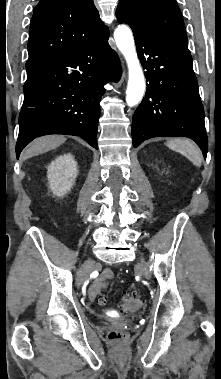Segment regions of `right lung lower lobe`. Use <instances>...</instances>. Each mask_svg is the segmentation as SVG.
<instances>
[{
    "label": "right lung lower lobe",
    "instance_id": "1",
    "mask_svg": "<svg viewBox=\"0 0 221 379\" xmlns=\"http://www.w3.org/2000/svg\"><path fill=\"white\" fill-rule=\"evenodd\" d=\"M108 38L106 28L83 45L26 66L17 158L29 142L47 134L80 136L98 149L104 85L121 75L119 58Z\"/></svg>",
    "mask_w": 221,
    "mask_h": 379
}]
</instances>
